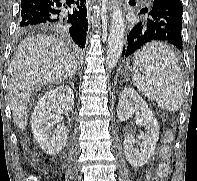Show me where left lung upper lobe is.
Masks as SVG:
<instances>
[{
  "label": "left lung upper lobe",
  "mask_w": 197,
  "mask_h": 181,
  "mask_svg": "<svg viewBox=\"0 0 197 181\" xmlns=\"http://www.w3.org/2000/svg\"><path fill=\"white\" fill-rule=\"evenodd\" d=\"M148 10H149V8H143V9H141L140 12H139V15L145 14Z\"/></svg>",
  "instance_id": "1"
}]
</instances>
